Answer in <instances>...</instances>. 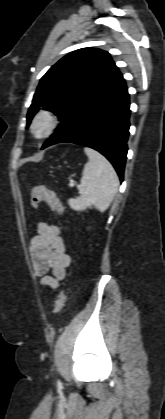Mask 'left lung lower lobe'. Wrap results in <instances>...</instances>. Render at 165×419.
Wrapping results in <instances>:
<instances>
[{"label": "left lung lower lobe", "mask_w": 165, "mask_h": 419, "mask_svg": "<svg viewBox=\"0 0 165 419\" xmlns=\"http://www.w3.org/2000/svg\"><path fill=\"white\" fill-rule=\"evenodd\" d=\"M129 107V94L120 74L80 105L41 149L61 142L93 148L113 164L123 181L130 126Z\"/></svg>", "instance_id": "obj_1"}]
</instances>
